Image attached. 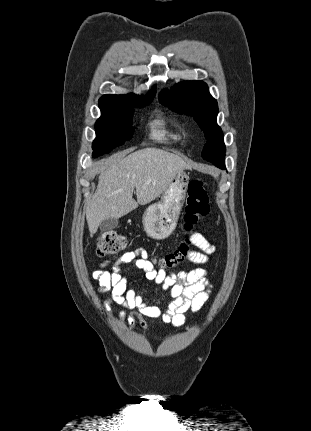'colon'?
<instances>
[{
	"label": "colon",
	"instance_id": "5ec220e1",
	"mask_svg": "<svg viewBox=\"0 0 311 431\" xmlns=\"http://www.w3.org/2000/svg\"><path fill=\"white\" fill-rule=\"evenodd\" d=\"M208 213L209 197L205 182L199 178L190 180L187 186V201L183 217V227L187 234H190ZM128 243V239L123 234L117 231H107L99 236L96 252L100 257L109 256L127 248ZM190 244L191 239L187 237L176 250L155 257V260L163 268H174L187 257Z\"/></svg>",
	"mask_w": 311,
	"mask_h": 431
}]
</instances>
